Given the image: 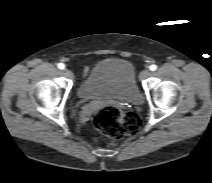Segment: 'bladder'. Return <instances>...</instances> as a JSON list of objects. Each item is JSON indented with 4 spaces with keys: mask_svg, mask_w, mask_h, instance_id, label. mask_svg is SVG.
Listing matches in <instances>:
<instances>
[{
    "mask_svg": "<svg viewBox=\"0 0 212 183\" xmlns=\"http://www.w3.org/2000/svg\"><path fill=\"white\" fill-rule=\"evenodd\" d=\"M77 94L83 100L114 99L133 105L142 100L132 65L114 57L98 61L79 84Z\"/></svg>",
    "mask_w": 212,
    "mask_h": 183,
    "instance_id": "obj_1",
    "label": "bladder"
}]
</instances>
